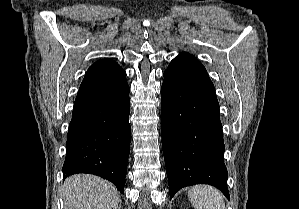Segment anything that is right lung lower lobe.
Segmentation results:
<instances>
[{"instance_id": "1", "label": "right lung lower lobe", "mask_w": 299, "mask_h": 209, "mask_svg": "<svg viewBox=\"0 0 299 209\" xmlns=\"http://www.w3.org/2000/svg\"><path fill=\"white\" fill-rule=\"evenodd\" d=\"M126 73L88 70L74 102L63 175L90 173L123 193L130 152L129 86Z\"/></svg>"}]
</instances>
